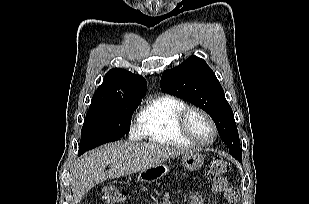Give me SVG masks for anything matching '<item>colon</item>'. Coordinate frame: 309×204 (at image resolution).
Here are the masks:
<instances>
[{
  "mask_svg": "<svg viewBox=\"0 0 309 204\" xmlns=\"http://www.w3.org/2000/svg\"><path fill=\"white\" fill-rule=\"evenodd\" d=\"M229 170L228 163L222 157H215L206 172L209 181L218 180ZM126 200V193L115 186L108 185L102 190L101 201L104 204H121Z\"/></svg>",
  "mask_w": 309,
  "mask_h": 204,
  "instance_id": "1",
  "label": "colon"
}]
</instances>
